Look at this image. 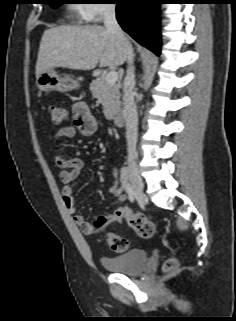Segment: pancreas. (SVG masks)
Wrapping results in <instances>:
<instances>
[{"label": "pancreas", "mask_w": 236, "mask_h": 321, "mask_svg": "<svg viewBox=\"0 0 236 321\" xmlns=\"http://www.w3.org/2000/svg\"><path fill=\"white\" fill-rule=\"evenodd\" d=\"M92 96L103 105V112L107 119L120 111V84H110L106 81V75L101 74L90 84Z\"/></svg>", "instance_id": "obj_1"}]
</instances>
